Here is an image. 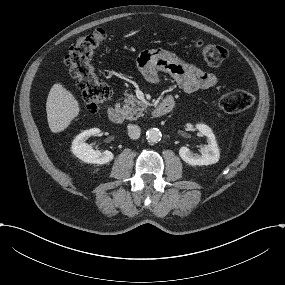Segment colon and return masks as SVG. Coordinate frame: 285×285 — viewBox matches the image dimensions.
Returning a JSON list of instances; mask_svg holds the SVG:
<instances>
[{"label":"colon","instance_id":"obj_1","mask_svg":"<svg viewBox=\"0 0 285 285\" xmlns=\"http://www.w3.org/2000/svg\"><path fill=\"white\" fill-rule=\"evenodd\" d=\"M105 38V31L96 29L78 38L65 57V63L82 93L90 114L99 113L112 93L111 88L98 78L92 65L93 55ZM196 46L210 66L221 65L227 57V50L220 45L198 41ZM254 103L255 95L242 89L224 93L217 99V105L227 113L242 112Z\"/></svg>","mask_w":285,"mask_h":285}]
</instances>
